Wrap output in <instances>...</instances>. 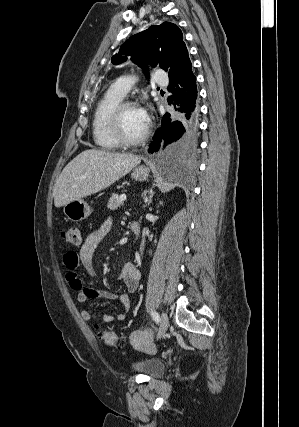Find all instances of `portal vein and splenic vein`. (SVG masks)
I'll return each mask as SVG.
<instances>
[{"instance_id": "obj_1", "label": "portal vein and splenic vein", "mask_w": 299, "mask_h": 427, "mask_svg": "<svg viewBox=\"0 0 299 427\" xmlns=\"http://www.w3.org/2000/svg\"><path fill=\"white\" fill-rule=\"evenodd\" d=\"M120 200H121V201H125V200H126V195H124V194H123V195H121V196H120Z\"/></svg>"}]
</instances>
